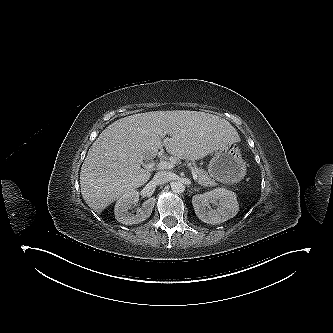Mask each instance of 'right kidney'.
<instances>
[{
  "label": "right kidney",
  "instance_id": "right-kidney-1",
  "mask_svg": "<svg viewBox=\"0 0 333 333\" xmlns=\"http://www.w3.org/2000/svg\"><path fill=\"white\" fill-rule=\"evenodd\" d=\"M139 201V192L136 190L129 191L123 194L115 204V218L118 222L125 225L138 224L150 217L155 199L149 198L146 200L142 207L137 209L136 214L129 212V210Z\"/></svg>",
  "mask_w": 333,
  "mask_h": 333
}]
</instances>
